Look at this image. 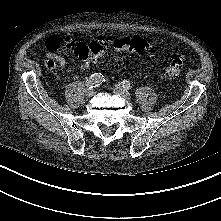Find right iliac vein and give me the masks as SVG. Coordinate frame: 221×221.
<instances>
[{
	"label": "right iliac vein",
	"instance_id": "obj_1",
	"mask_svg": "<svg viewBox=\"0 0 221 221\" xmlns=\"http://www.w3.org/2000/svg\"><path fill=\"white\" fill-rule=\"evenodd\" d=\"M94 93H95L94 90L93 89H89V88L85 91V95L88 98L92 97L94 95Z\"/></svg>",
	"mask_w": 221,
	"mask_h": 221
}]
</instances>
